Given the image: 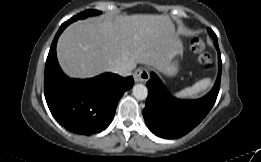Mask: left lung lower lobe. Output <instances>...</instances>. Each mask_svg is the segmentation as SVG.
I'll list each match as a JSON object with an SVG mask.
<instances>
[{"label": "left lung lower lobe", "instance_id": "0a47b994", "mask_svg": "<svg viewBox=\"0 0 261 162\" xmlns=\"http://www.w3.org/2000/svg\"><path fill=\"white\" fill-rule=\"evenodd\" d=\"M219 71L213 89L198 100H180L173 97L155 73L147 82L148 97L143 110L150 131L158 137L174 139L184 136L195 128L214 105L220 89L222 72L221 55L217 41Z\"/></svg>", "mask_w": 261, "mask_h": 162}]
</instances>
